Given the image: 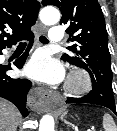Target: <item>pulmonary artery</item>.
I'll return each instance as SVG.
<instances>
[{"label":"pulmonary artery","mask_w":117,"mask_h":131,"mask_svg":"<svg viewBox=\"0 0 117 131\" xmlns=\"http://www.w3.org/2000/svg\"><path fill=\"white\" fill-rule=\"evenodd\" d=\"M64 32L61 27L54 26L50 30L49 40L52 43H59L63 40Z\"/></svg>","instance_id":"e3ab8cb5"}]
</instances>
